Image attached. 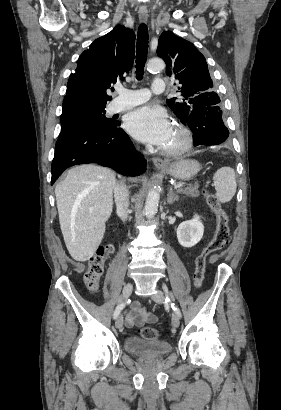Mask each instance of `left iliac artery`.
<instances>
[{"instance_id": "obj_1", "label": "left iliac artery", "mask_w": 281, "mask_h": 410, "mask_svg": "<svg viewBox=\"0 0 281 410\" xmlns=\"http://www.w3.org/2000/svg\"><path fill=\"white\" fill-rule=\"evenodd\" d=\"M172 300H173V295L168 294L166 296L165 303L171 302ZM171 307L179 316H181V312H180L179 308L174 303H171Z\"/></svg>"}]
</instances>
